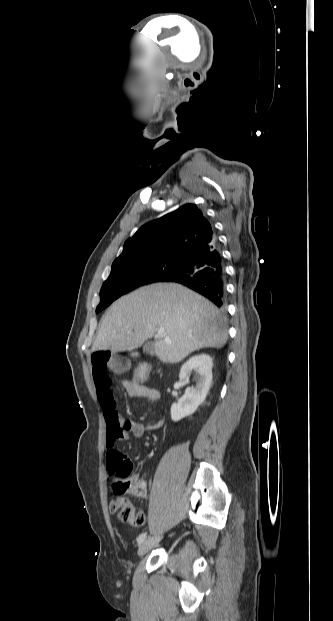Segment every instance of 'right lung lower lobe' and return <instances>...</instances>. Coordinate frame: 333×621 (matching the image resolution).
<instances>
[{"mask_svg": "<svg viewBox=\"0 0 333 621\" xmlns=\"http://www.w3.org/2000/svg\"><path fill=\"white\" fill-rule=\"evenodd\" d=\"M162 281L185 285L224 308L225 269L217 239L186 256L179 269Z\"/></svg>", "mask_w": 333, "mask_h": 621, "instance_id": "98d812e1", "label": "right lung lower lobe"}]
</instances>
